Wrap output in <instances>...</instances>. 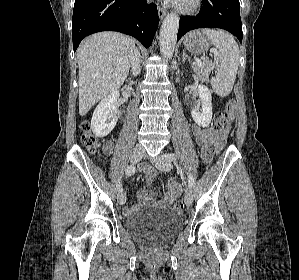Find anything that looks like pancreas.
Masks as SVG:
<instances>
[{
	"label": "pancreas",
	"mask_w": 299,
	"mask_h": 280,
	"mask_svg": "<svg viewBox=\"0 0 299 280\" xmlns=\"http://www.w3.org/2000/svg\"><path fill=\"white\" fill-rule=\"evenodd\" d=\"M193 70L196 73L197 77L203 81V82H208L209 78H208V71L204 70L203 68L199 67L196 63H193Z\"/></svg>",
	"instance_id": "obj_1"
}]
</instances>
